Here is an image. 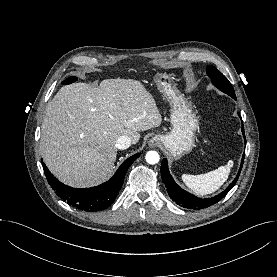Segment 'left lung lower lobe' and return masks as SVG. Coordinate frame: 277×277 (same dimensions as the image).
<instances>
[{"label": "left lung lower lobe", "mask_w": 277, "mask_h": 277, "mask_svg": "<svg viewBox=\"0 0 277 277\" xmlns=\"http://www.w3.org/2000/svg\"><path fill=\"white\" fill-rule=\"evenodd\" d=\"M242 133H243V136L245 137L243 127H242ZM244 156H245V153L243 154L241 166L238 171V174L236 178L233 180V182L227 187L226 190H224L222 193L212 198H204V199L198 198L186 192L182 188H180L169 173L168 163L166 159H163L161 163L162 180L165 183V186L167 188V192L170 198L178 205L185 207L187 209H194V210L204 209L219 202L233 188V186L235 185L240 175V171L243 166Z\"/></svg>", "instance_id": "obj_1"}]
</instances>
